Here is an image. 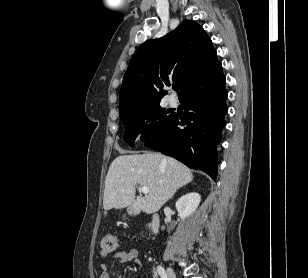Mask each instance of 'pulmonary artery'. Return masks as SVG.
<instances>
[{
	"label": "pulmonary artery",
	"instance_id": "pulmonary-artery-1",
	"mask_svg": "<svg viewBox=\"0 0 308 278\" xmlns=\"http://www.w3.org/2000/svg\"><path fill=\"white\" fill-rule=\"evenodd\" d=\"M169 103L171 106H175L177 104V99L175 96H170L169 97Z\"/></svg>",
	"mask_w": 308,
	"mask_h": 278
}]
</instances>
